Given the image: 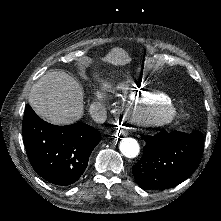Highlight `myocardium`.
<instances>
[{
	"label": "myocardium",
	"instance_id": "f54148a6",
	"mask_svg": "<svg viewBox=\"0 0 221 221\" xmlns=\"http://www.w3.org/2000/svg\"><path fill=\"white\" fill-rule=\"evenodd\" d=\"M120 117L123 118L126 127H133L135 120L132 112L128 108L120 109ZM147 117L150 122L154 124H161L166 121L168 117V110L165 105L161 103H154L149 106L147 110Z\"/></svg>",
	"mask_w": 221,
	"mask_h": 221
}]
</instances>
